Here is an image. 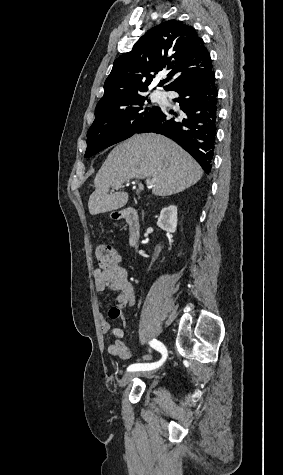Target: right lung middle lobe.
<instances>
[{
	"mask_svg": "<svg viewBox=\"0 0 283 475\" xmlns=\"http://www.w3.org/2000/svg\"><path fill=\"white\" fill-rule=\"evenodd\" d=\"M150 99L144 95L129 100L97 107L95 120L87 133L85 158L121 142L135 133L160 110L158 106H148Z\"/></svg>",
	"mask_w": 283,
	"mask_h": 475,
	"instance_id": "1",
	"label": "right lung middle lobe"
}]
</instances>
